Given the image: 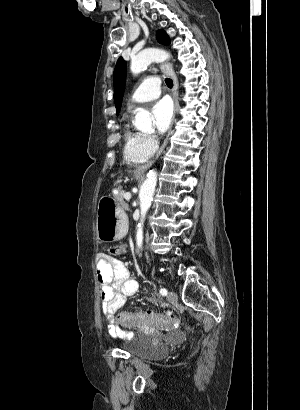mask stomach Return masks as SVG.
Returning <instances> with one entry per match:
<instances>
[{"label":"stomach","instance_id":"0dacf381","mask_svg":"<svg viewBox=\"0 0 300 410\" xmlns=\"http://www.w3.org/2000/svg\"><path fill=\"white\" fill-rule=\"evenodd\" d=\"M127 215L110 197L100 199L97 208L96 229L99 240L113 242L121 239L127 231Z\"/></svg>","mask_w":300,"mask_h":410}]
</instances>
